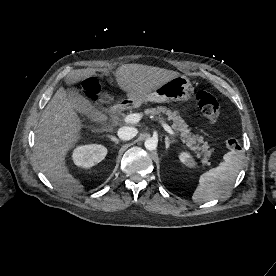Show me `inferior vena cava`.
Masks as SVG:
<instances>
[{
  "instance_id": "1",
  "label": "inferior vena cava",
  "mask_w": 276,
  "mask_h": 276,
  "mask_svg": "<svg viewBox=\"0 0 276 276\" xmlns=\"http://www.w3.org/2000/svg\"><path fill=\"white\" fill-rule=\"evenodd\" d=\"M138 131L134 127L124 126L118 130V137L121 140L128 141L137 135Z\"/></svg>"
}]
</instances>
